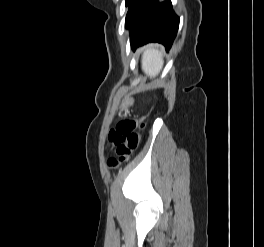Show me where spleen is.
<instances>
[{"label":"spleen","mask_w":264,"mask_h":247,"mask_svg":"<svg viewBox=\"0 0 264 247\" xmlns=\"http://www.w3.org/2000/svg\"><path fill=\"white\" fill-rule=\"evenodd\" d=\"M141 62L142 70L150 78H155L164 64L162 53L153 47H148L144 50Z\"/></svg>","instance_id":"spleen-1"}]
</instances>
